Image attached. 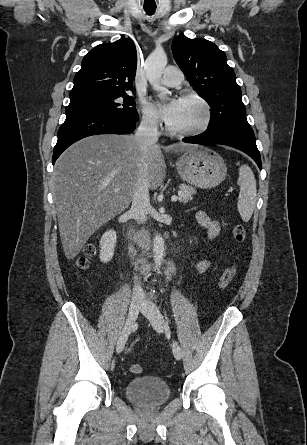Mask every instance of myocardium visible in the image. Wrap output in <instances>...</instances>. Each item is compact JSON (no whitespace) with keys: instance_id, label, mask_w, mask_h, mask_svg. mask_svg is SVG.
I'll return each instance as SVG.
<instances>
[{"instance_id":"obj_1","label":"myocardium","mask_w":307,"mask_h":445,"mask_svg":"<svg viewBox=\"0 0 307 445\" xmlns=\"http://www.w3.org/2000/svg\"><path fill=\"white\" fill-rule=\"evenodd\" d=\"M182 100H190L199 104L204 112L203 120L197 126L185 130H175L171 128L169 124H167V131L170 132L171 134L180 135L183 137H194L207 131L212 125L214 120V112L209 102L197 93L183 94Z\"/></svg>"}]
</instances>
